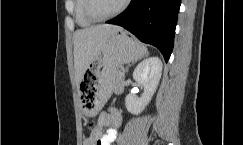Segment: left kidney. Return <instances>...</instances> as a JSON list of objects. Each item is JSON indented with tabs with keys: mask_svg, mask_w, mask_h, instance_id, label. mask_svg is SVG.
I'll return each mask as SVG.
<instances>
[{
	"mask_svg": "<svg viewBox=\"0 0 243 145\" xmlns=\"http://www.w3.org/2000/svg\"><path fill=\"white\" fill-rule=\"evenodd\" d=\"M162 61L158 57H149L138 64L133 72V79L144 87L141 97L129 94L125 106L132 114L141 113L151 101L162 75Z\"/></svg>",
	"mask_w": 243,
	"mask_h": 145,
	"instance_id": "1",
	"label": "left kidney"
}]
</instances>
